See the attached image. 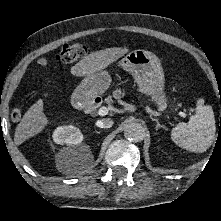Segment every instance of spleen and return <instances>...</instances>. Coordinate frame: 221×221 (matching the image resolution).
Masks as SVG:
<instances>
[{
	"label": "spleen",
	"instance_id": "1",
	"mask_svg": "<svg viewBox=\"0 0 221 221\" xmlns=\"http://www.w3.org/2000/svg\"><path fill=\"white\" fill-rule=\"evenodd\" d=\"M215 118L211 106L204 105V100L197 101L195 114L188 123H178L171 131L172 141L191 152L203 153L215 138Z\"/></svg>",
	"mask_w": 221,
	"mask_h": 221
}]
</instances>
